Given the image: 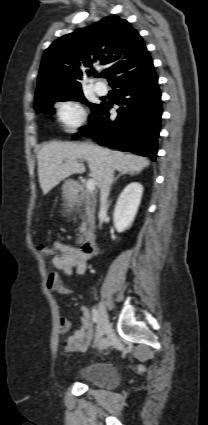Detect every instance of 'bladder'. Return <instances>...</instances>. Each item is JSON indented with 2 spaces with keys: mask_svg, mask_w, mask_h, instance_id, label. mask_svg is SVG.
<instances>
[{
  "mask_svg": "<svg viewBox=\"0 0 208 425\" xmlns=\"http://www.w3.org/2000/svg\"><path fill=\"white\" fill-rule=\"evenodd\" d=\"M74 377L80 382L105 390L115 389L120 382L115 367L105 361H96L87 364L78 370Z\"/></svg>",
  "mask_w": 208,
  "mask_h": 425,
  "instance_id": "obj_1",
  "label": "bladder"
}]
</instances>
